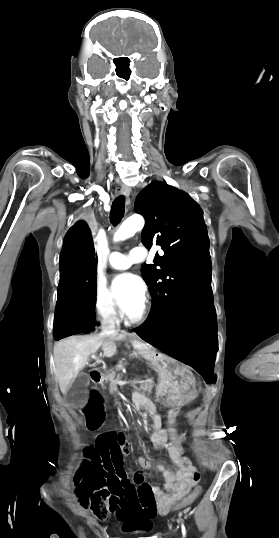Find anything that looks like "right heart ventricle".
Wrapping results in <instances>:
<instances>
[{"label":"right heart ventricle","mask_w":279,"mask_h":538,"mask_svg":"<svg viewBox=\"0 0 279 538\" xmlns=\"http://www.w3.org/2000/svg\"><path fill=\"white\" fill-rule=\"evenodd\" d=\"M133 221V216L131 214L128 213L124 215L116 226L115 235L117 237H122L126 234H130Z\"/></svg>","instance_id":"right-heart-ventricle-1"}]
</instances>
